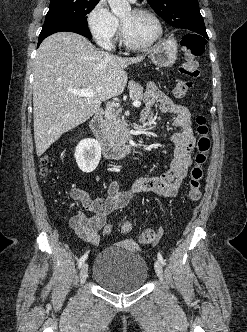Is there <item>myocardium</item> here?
I'll list each match as a JSON object with an SVG mask.
<instances>
[{
    "mask_svg": "<svg viewBox=\"0 0 247 332\" xmlns=\"http://www.w3.org/2000/svg\"><path fill=\"white\" fill-rule=\"evenodd\" d=\"M132 11L136 14H144V15H149L150 17H152L157 24L158 31H157L156 36L149 42L144 43V44H136V43L132 42L130 40V38L128 37L125 26H124L123 22L121 21L122 42L125 44L126 47H128L132 50H147L150 47H152L153 45H155L158 41H160L161 38L163 37V34H164L163 23H162L160 17L152 10L145 9V8H134V9H132Z\"/></svg>",
    "mask_w": 247,
    "mask_h": 332,
    "instance_id": "obj_1",
    "label": "myocardium"
}]
</instances>
